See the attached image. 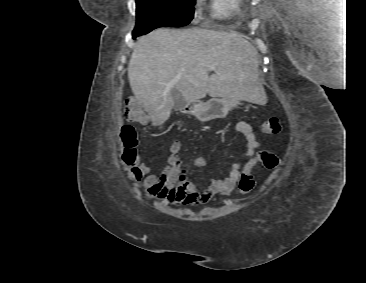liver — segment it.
Wrapping results in <instances>:
<instances>
[{
    "label": "liver",
    "instance_id": "obj_1",
    "mask_svg": "<svg viewBox=\"0 0 366 283\" xmlns=\"http://www.w3.org/2000/svg\"><path fill=\"white\" fill-rule=\"evenodd\" d=\"M257 69L256 48L234 31L159 28L138 39L128 78L135 98L156 126L170 117L174 88L185 102L208 94L262 104L265 94Z\"/></svg>",
    "mask_w": 366,
    "mask_h": 283
}]
</instances>
